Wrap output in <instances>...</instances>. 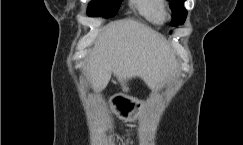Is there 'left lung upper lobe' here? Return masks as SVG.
I'll list each match as a JSON object with an SVG mask.
<instances>
[{
  "label": "left lung upper lobe",
  "mask_w": 243,
  "mask_h": 145,
  "mask_svg": "<svg viewBox=\"0 0 243 145\" xmlns=\"http://www.w3.org/2000/svg\"><path fill=\"white\" fill-rule=\"evenodd\" d=\"M185 0H170L169 5L173 13V18L171 21L172 26H178L184 23L187 11L183 7Z\"/></svg>",
  "instance_id": "5c2ea615"
}]
</instances>
